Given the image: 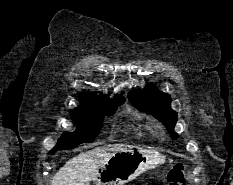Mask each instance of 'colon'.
Returning a JSON list of instances; mask_svg holds the SVG:
<instances>
[{
	"label": "colon",
	"instance_id": "obj_1",
	"mask_svg": "<svg viewBox=\"0 0 233 185\" xmlns=\"http://www.w3.org/2000/svg\"><path fill=\"white\" fill-rule=\"evenodd\" d=\"M168 185H185V166L182 163H176L169 170L167 175Z\"/></svg>",
	"mask_w": 233,
	"mask_h": 185
}]
</instances>
